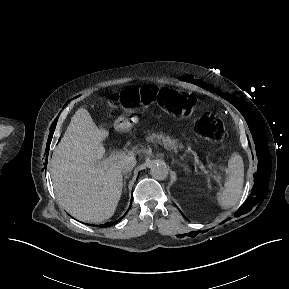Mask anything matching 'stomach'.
Instances as JSON below:
<instances>
[{"mask_svg": "<svg viewBox=\"0 0 289 289\" xmlns=\"http://www.w3.org/2000/svg\"><path fill=\"white\" fill-rule=\"evenodd\" d=\"M135 120L133 111H126L116 120L115 128L119 131L129 130L134 126Z\"/></svg>", "mask_w": 289, "mask_h": 289, "instance_id": "1", "label": "stomach"}]
</instances>
